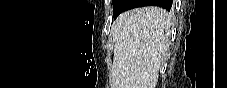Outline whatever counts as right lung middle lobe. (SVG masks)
I'll return each instance as SVG.
<instances>
[{"label":"right lung middle lobe","mask_w":227,"mask_h":88,"mask_svg":"<svg viewBox=\"0 0 227 88\" xmlns=\"http://www.w3.org/2000/svg\"><path fill=\"white\" fill-rule=\"evenodd\" d=\"M130 0H113V16L114 19L124 10Z\"/></svg>","instance_id":"dd1d6c3e"}]
</instances>
